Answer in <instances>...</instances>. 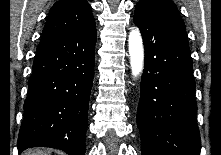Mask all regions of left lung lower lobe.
<instances>
[{
  "mask_svg": "<svg viewBox=\"0 0 221 155\" xmlns=\"http://www.w3.org/2000/svg\"><path fill=\"white\" fill-rule=\"evenodd\" d=\"M145 64L137 125L142 155H200L195 80L185 28L136 7Z\"/></svg>",
  "mask_w": 221,
  "mask_h": 155,
  "instance_id": "obj_1",
  "label": "left lung lower lobe"
}]
</instances>
